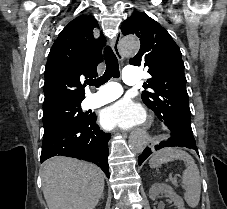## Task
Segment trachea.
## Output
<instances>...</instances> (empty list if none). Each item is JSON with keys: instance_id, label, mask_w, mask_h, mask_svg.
<instances>
[{"instance_id": "trachea-1", "label": "trachea", "mask_w": 227, "mask_h": 209, "mask_svg": "<svg viewBox=\"0 0 227 209\" xmlns=\"http://www.w3.org/2000/svg\"><path fill=\"white\" fill-rule=\"evenodd\" d=\"M104 60L106 63V70L104 74L102 77L89 80L88 85H95L98 87L108 82L111 77L118 78L120 76L118 60L110 46H106L104 49Z\"/></svg>"}]
</instances>
